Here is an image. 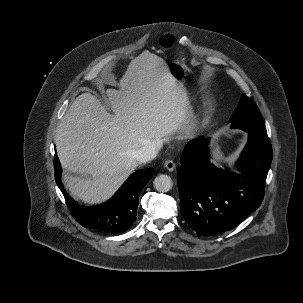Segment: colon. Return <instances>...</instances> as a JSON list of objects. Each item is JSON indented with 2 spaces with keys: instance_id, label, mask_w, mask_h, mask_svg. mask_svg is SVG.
<instances>
[{
  "instance_id": "obj_1",
  "label": "colon",
  "mask_w": 303,
  "mask_h": 303,
  "mask_svg": "<svg viewBox=\"0 0 303 303\" xmlns=\"http://www.w3.org/2000/svg\"><path fill=\"white\" fill-rule=\"evenodd\" d=\"M173 44H174V37L172 35L167 34L160 39V45L165 49L171 48Z\"/></svg>"
}]
</instances>
